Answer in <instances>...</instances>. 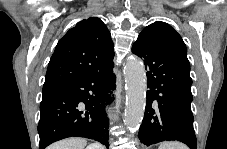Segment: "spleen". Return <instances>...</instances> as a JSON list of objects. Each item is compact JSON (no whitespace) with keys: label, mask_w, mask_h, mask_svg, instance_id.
<instances>
[{"label":"spleen","mask_w":227,"mask_h":149,"mask_svg":"<svg viewBox=\"0 0 227 149\" xmlns=\"http://www.w3.org/2000/svg\"><path fill=\"white\" fill-rule=\"evenodd\" d=\"M158 149H188V148L182 143L172 141L161 143Z\"/></svg>","instance_id":"obj_1"}]
</instances>
